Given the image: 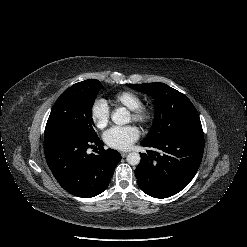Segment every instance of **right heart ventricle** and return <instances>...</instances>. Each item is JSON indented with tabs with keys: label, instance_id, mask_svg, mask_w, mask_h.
I'll list each match as a JSON object with an SVG mask.
<instances>
[{
	"label": "right heart ventricle",
	"instance_id": "e07e8e85",
	"mask_svg": "<svg viewBox=\"0 0 247 247\" xmlns=\"http://www.w3.org/2000/svg\"><path fill=\"white\" fill-rule=\"evenodd\" d=\"M112 101L114 104L125 106L128 109L136 108L142 103L140 96L130 90H123L116 93Z\"/></svg>",
	"mask_w": 247,
	"mask_h": 247
}]
</instances>
